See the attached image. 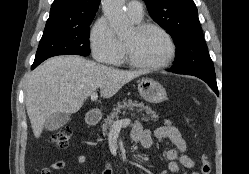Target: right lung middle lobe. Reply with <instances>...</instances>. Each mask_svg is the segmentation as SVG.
<instances>
[{"label":"right lung middle lobe","instance_id":"obj_1","mask_svg":"<svg viewBox=\"0 0 249 174\" xmlns=\"http://www.w3.org/2000/svg\"><path fill=\"white\" fill-rule=\"evenodd\" d=\"M92 20L79 25L44 31L34 63L43 62L47 58L57 55L88 56L90 54L89 26Z\"/></svg>","mask_w":249,"mask_h":174}]
</instances>
